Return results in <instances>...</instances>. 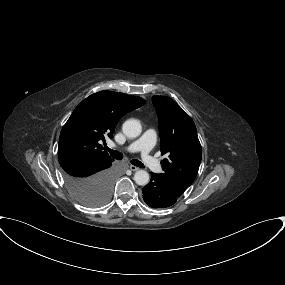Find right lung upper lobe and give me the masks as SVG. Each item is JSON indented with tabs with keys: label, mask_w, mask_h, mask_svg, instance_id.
Here are the masks:
<instances>
[{
	"label": "right lung upper lobe",
	"mask_w": 285,
	"mask_h": 285,
	"mask_svg": "<svg viewBox=\"0 0 285 285\" xmlns=\"http://www.w3.org/2000/svg\"><path fill=\"white\" fill-rule=\"evenodd\" d=\"M145 104L138 96L100 91L83 100L61 130L58 156L60 166L85 158L108 157L99 142L113 137L115 126L126 113Z\"/></svg>",
	"instance_id": "cb5924a9"
}]
</instances>
